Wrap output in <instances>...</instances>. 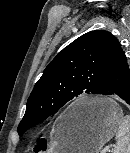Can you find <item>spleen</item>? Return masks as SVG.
<instances>
[{
  "label": "spleen",
  "instance_id": "1",
  "mask_svg": "<svg viewBox=\"0 0 130 153\" xmlns=\"http://www.w3.org/2000/svg\"><path fill=\"white\" fill-rule=\"evenodd\" d=\"M113 153H130V116H123L116 132V145Z\"/></svg>",
  "mask_w": 130,
  "mask_h": 153
}]
</instances>
